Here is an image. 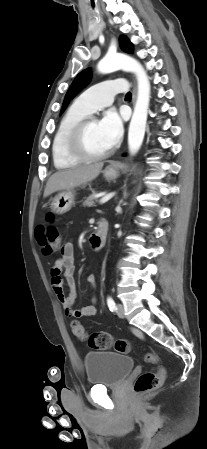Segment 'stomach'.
<instances>
[{"mask_svg": "<svg viewBox=\"0 0 207 449\" xmlns=\"http://www.w3.org/2000/svg\"><path fill=\"white\" fill-rule=\"evenodd\" d=\"M124 168L123 165L108 166L103 171L104 177L107 180H114L119 176V170ZM75 193L73 190H65L57 194L51 202V210L55 214H64L68 212L74 205Z\"/></svg>", "mask_w": 207, "mask_h": 449, "instance_id": "1", "label": "stomach"}]
</instances>
